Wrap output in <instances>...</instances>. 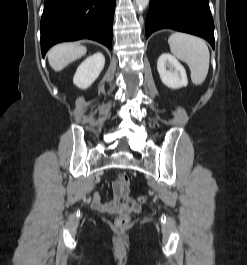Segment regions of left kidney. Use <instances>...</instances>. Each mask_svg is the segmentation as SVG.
<instances>
[{
    "mask_svg": "<svg viewBox=\"0 0 247 265\" xmlns=\"http://www.w3.org/2000/svg\"><path fill=\"white\" fill-rule=\"evenodd\" d=\"M157 70L163 84L171 89L186 87L188 84L184 67L169 53H164L158 58Z\"/></svg>",
    "mask_w": 247,
    "mask_h": 265,
    "instance_id": "5707ae66",
    "label": "left kidney"
}]
</instances>
